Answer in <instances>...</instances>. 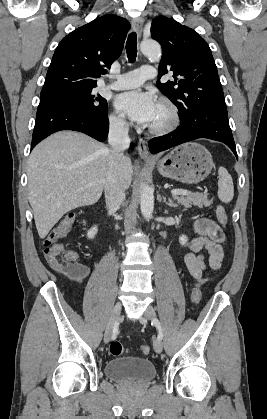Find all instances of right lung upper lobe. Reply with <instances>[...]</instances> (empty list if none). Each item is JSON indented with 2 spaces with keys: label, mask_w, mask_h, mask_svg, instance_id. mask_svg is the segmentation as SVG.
<instances>
[{
  "label": "right lung upper lobe",
  "mask_w": 267,
  "mask_h": 419,
  "mask_svg": "<svg viewBox=\"0 0 267 419\" xmlns=\"http://www.w3.org/2000/svg\"><path fill=\"white\" fill-rule=\"evenodd\" d=\"M128 20L106 15L75 29L57 46L41 93L68 86L94 88L123 49Z\"/></svg>",
  "instance_id": "obj_1"
}]
</instances>
